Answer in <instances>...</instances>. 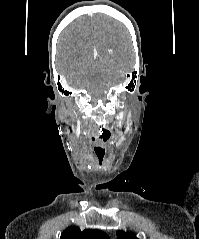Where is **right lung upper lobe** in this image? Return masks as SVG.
<instances>
[{
  "label": "right lung upper lobe",
  "mask_w": 199,
  "mask_h": 239,
  "mask_svg": "<svg viewBox=\"0 0 199 239\" xmlns=\"http://www.w3.org/2000/svg\"><path fill=\"white\" fill-rule=\"evenodd\" d=\"M60 239H109V237L100 230L86 229L81 231L78 227H68L62 232Z\"/></svg>",
  "instance_id": "right-lung-upper-lobe-1"
}]
</instances>
